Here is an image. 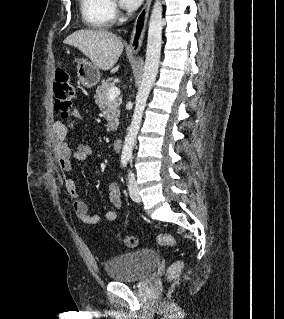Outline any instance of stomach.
<instances>
[{
  "instance_id": "0dacf381",
  "label": "stomach",
  "mask_w": 284,
  "mask_h": 319,
  "mask_svg": "<svg viewBox=\"0 0 284 319\" xmlns=\"http://www.w3.org/2000/svg\"><path fill=\"white\" fill-rule=\"evenodd\" d=\"M77 77L84 87L91 88L99 82L100 72L97 67L88 62L86 59H78Z\"/></svg>"
}]
</instances>
